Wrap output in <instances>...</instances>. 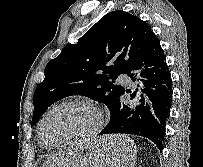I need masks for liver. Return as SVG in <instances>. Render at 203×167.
<instances>
[{"label": "liver", "instance_id": "6515ba94", "mask_svg": "<svg viewBox=\"0 0 203 167\" xmlns=\"http://www.w3.org/2000/svg\"><path fill=\"white\" fill-rule=\"evenodd\" d=\"M104 143H110L114 147L125 146L130 143V139L125 136H106L99 140V145ZM80 158V154L71 151L57 153L49 157L42 167H71Z\"/></svg>", "mask_w": 203, "mask_h": 167}]
</instances>
